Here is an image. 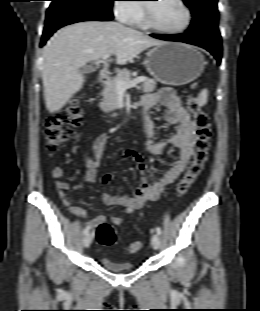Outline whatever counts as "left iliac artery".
Instances as JSON below:
<instances>
[{
	"label": "left iliac artery",
	"mask_w": 260,
	"mask_h": 311,
	"mask_svg": "<svg viewBox=\"0 0 260 311\" xmlns=\"http://www.w3.org/2000/svg\"><path fill=\"white\" fill-rule=\"evenodd\" d=\"M156 232H157L158 235H161V233H162L161 228H160V227H157V228H156Z\"/></svg>",
	"instance_id": "obj_1"
}]
</instances>
